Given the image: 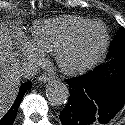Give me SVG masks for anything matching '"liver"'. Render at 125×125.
Returning a JSON list of instances; mask_svg holds the SVG:
<instances>
[{
	"label": "liver",
	"mask_w": 125,
	"mask_h": 125,
	"mask_svg": "<svg viewBox=\"0 0 125 125\" xmlns=\"http://www.w3.org/2000/svg\"><path fill=\"white\" fill-rule=\"evenodd\" d=\"M20 85V68L8 31L0 26V117L14 102Z\"/></svg>",
	"instance_id": "6515ba94"
}]
</instances>
